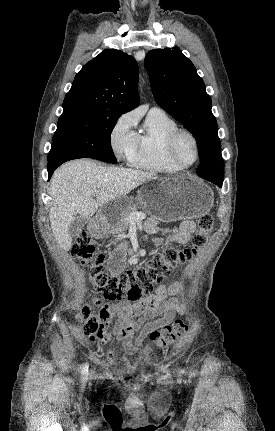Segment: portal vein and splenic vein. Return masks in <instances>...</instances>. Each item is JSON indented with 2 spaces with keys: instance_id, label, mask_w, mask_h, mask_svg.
I'll return each mask as SVG.
<instances>
[{
  "instance_id": "obj_1",
  "label": "portal vein and splenic vein",
  "mask_w": 275,
  "mask_h": 431,
  "mask_svg": "<svg viewBox=\"0 0 275 431\" xmlns=\"http://www.w3.org/2000/svg\"><path fill=\"white\" fill-rule=\"evenodd\" d=\"M99 193V191L98 190H95L94 192H93V195H97ZM146 218V214L145 213H143V212H132V213H130V215H129V219H130V221H136V220H143V219H145Z\"/></svg>"
}]
</instances>
